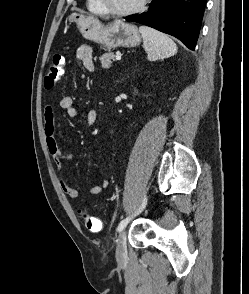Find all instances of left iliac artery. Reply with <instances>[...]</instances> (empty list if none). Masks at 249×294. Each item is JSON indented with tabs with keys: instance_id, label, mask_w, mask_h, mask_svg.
Instances as JSON below:
<instances>
[{
	"instance_id": "1",
	"label": "left iliac artery",
	"mask_w": 249,
	"mask_h": 294,
	"mask_svg": "<svg viewBox=\"0 0 249 294\" xmlns=\"http://www.w3.org/2000/svg\"><path fill=\"white\" fill-rule=\"evenodd\" d=\"M146 203H147V198H146V196H144L143 201H142V204H141L140 208L137 210V212L134 214V216H136V215H138L139 213L142 212V210H143V209L145 208V206H146ZM132 217H133V216H132ZM132 217H126L125 219H123V220L119 223L118 228H117V231H118V232L122 231V230L126 227V225H127L128 222L131 220Z\"/></svg>"
}]
</instances>
